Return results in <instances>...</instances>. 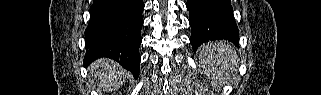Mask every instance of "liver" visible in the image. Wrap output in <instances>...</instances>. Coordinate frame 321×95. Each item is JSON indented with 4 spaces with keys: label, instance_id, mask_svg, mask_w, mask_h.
Masks as SVG:
<instances>
[{
    "label": "liver",
    "instance_id": "6515ba94",
    "mask_svg": "<svg viewBox=\"0 0 321 95\" xmlns=\"http://www.w3.org/2000/svg\"><path fill=\"white\" fill-rule=\"evenodd\" d=\"M90 73L105 92L120 87L128 78V72L109 59H100L91 65Z\"/></svg>",
    "mask_w": 321,
    "mask_h": 95
}]
</instances>
